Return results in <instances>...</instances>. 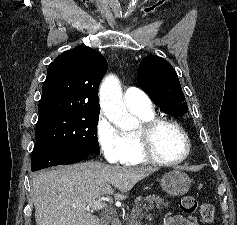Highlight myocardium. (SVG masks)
I'll list each match as a JSON object with an SVG mask.
<instances>
[{
    "instance_id": "1",
    "label": "myocardium",
    "mask_w": 237,
    "mask_h": 225,
    "mask_svg": "<svg viewBox=\"0 0 237 225\" xmlns=\"http://www.w3.org/2000/svg\"><path fill=\"white\" fill-rule=\"evenodd\" d=\"M162 126H170L175 128L184 138L186 144V151L183 156L178 159L168 160L161 158L155 149L154 137L158 129ZM138 149L145 162H151L158 165H177L186 160L191 152V140L185 129L177 122L164 119L153 118L151 120L142 122L137 131L135 132Z\"/></svg>"
}]
</instances>
